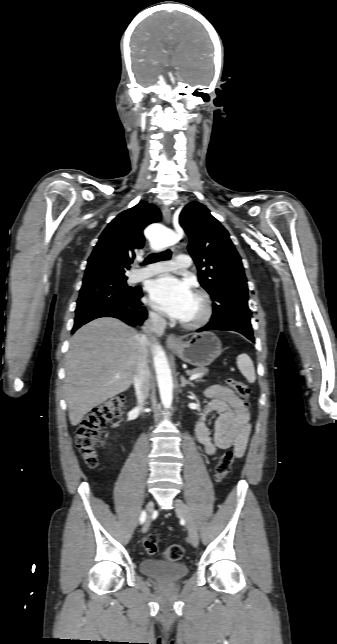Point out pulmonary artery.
Here are the masks:
<instances>
[{
	"label": "pulmonary artery",
	"instance_id": "e3ab8cb5",
	"mask_svg": "<svg viewBox=\"0 0 337 644\" xmlns=\"http://www.w3.org/2000/svg\"><path fill=\"white\" fill-rule=\"evenodd\" d=\"M191 265V257L186 254H179L174 261H163L155 264H151L146 268L135 270L131 274V280L138 282L148 277L155 276L157 274L175 270V269H185Z\"/></svg>",
	"mask_w": 337,
	"mask_h": 644
}]
</instances>
